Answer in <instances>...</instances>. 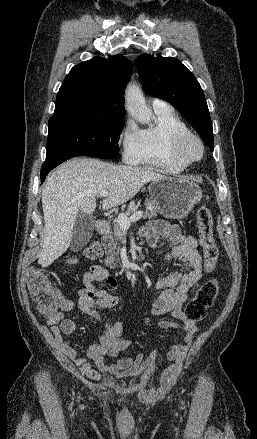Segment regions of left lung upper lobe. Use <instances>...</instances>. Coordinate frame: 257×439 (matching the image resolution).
I'll return each instance as SVG.
<instances>
[{
	"mask_svg": "<svg viewBox=\"0 0 257 439\" xmlns=\"http://www.w3.org/2000/svg\"><path fill=\"white\" fill-rule=\"evenodd\" d=\"M141 83L152 97L174 105L213 151V129L203 90L176 58L142 54L136 58Z\"/></svg>",
	"mask_w": 257,
	"mask_h": 439,
	"instance_id": "obj_1",
	"label": "left lung upper lobe"
}]
</instances>
